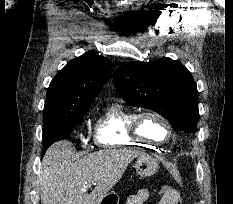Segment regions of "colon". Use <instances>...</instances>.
Masks as SVG:
<instances>
[{"mask_svg": "<svg viewBox=\"0 0 233 204\" xmlns=\"http://www.w3.org/2000/svg\"><path fill=\"white\" fill-rule=\"evenodd\" d=\"M181 200L180 192L169 186L165 185L160 191V202L159 204H179Z\"/></svg>", "mask_w": 233, "mask_h": 204, "instance_id": "colon-1", "label": "colon"}]
</instances>
